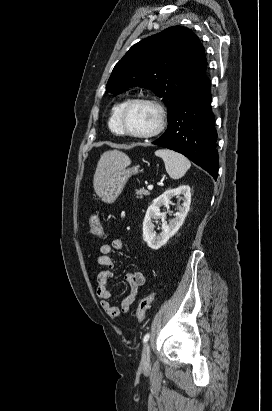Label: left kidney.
Here are the masks:
<instances>
[{"instance_id":"left-kidney-1","label":"left kidney","mask_w":272,"mask_h":411,"mask_svg":"<svg viewBox=\"0 0 272 411\" xmlns=\"http://www.w3.org/2000/svg\"><path fill=\"white\" fill-rule=\"evenodd\" d=\"M175 196H181L183 204L178 206V212L175 213V218L170 220L167 224L165 221L166 212H160V207L164 205L169 209L170 199ZM190 203L191 192L188 185H182L175 189L166 190L153 201L148 207L143 221V240L150 248L154 250L161 248L176 234L187 216ZM153 219H161L162 221V232L158 235H156V232L154 231L155 226L152 222Z\"/></svg>"}]
</instances>
